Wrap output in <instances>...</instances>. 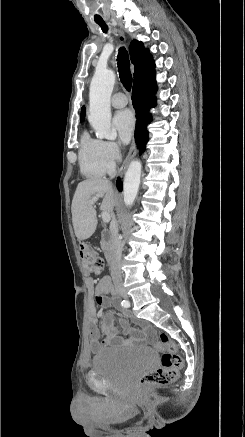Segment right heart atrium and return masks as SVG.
Masks as SVG:
<instances>
[{"instance_id":"d8ad5b80","label":"right heart atrium","mask_w":245,"mask_h":437,"mask_svg":"<svg viewBox=\"0 0 245 437\" xmlns=\"http://www.w3.org/2000/svg\"><path fill=\"white\" fill-rule=\"evenodd\" d=\"M102 158L109 172H112L122 157L121 146L115 141H101Z\"/></svg>"}]
</instances>
